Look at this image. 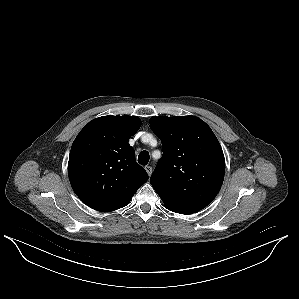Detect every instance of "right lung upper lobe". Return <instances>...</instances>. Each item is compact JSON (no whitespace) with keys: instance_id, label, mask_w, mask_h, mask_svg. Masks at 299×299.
Instances as JSON below:
<instances>
[{"instance_id":"obj_1","label":"right lung upper lobe","mask_w":299,"mask_h":299,"mask_svg":"<svg viewBox=\"0 0 299 299\" xmlns=\"http://www.w3.org/2000/svg\"><path fill=\"white\" fill-rule=\"evenodd\" d=\"M140 126L137 116H102L76 137L68 175L74 192L87 206L101 212L122 208L148 180L128 143Z\"/></svg>"}]
</instances>
